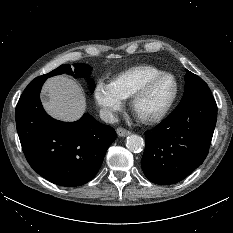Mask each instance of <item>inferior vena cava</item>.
<instances>
[{"instance_id":"1","label":"inferior vena cava","mask_w":233,"mask_h":233,"mask_svg":"<svg viewBox=\"0 0 233 233\" xmlns=\"http://www.w3.org/2000/svg\"><path fill=\"white\" fill-rule=\"evenodd\" d=\"M100 118L102 121L106 123H117L118 122V117L106 109L100 110Z\"/></svg>"}]
</instances>
